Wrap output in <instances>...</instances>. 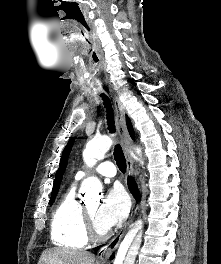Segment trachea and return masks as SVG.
<instances>
[{"mask_svg": "<svg viewBox=\"0 0 221 264\" xmlns=\"http://www.w3.org/2000/svg\"><path fill=\"white\" fill-rule=\"evenodd\" d=\"M101 97L104 101V106L107 112L108 130L110 131V133H115V124H114V118H113L114 115H113V109H112L110 99L105 94H101ZM113 155H114V158H115V161H116V164L119 170L122 173H125L126 172V160H125V156H124V153L122 151L120 144L115 145Z\"/></svg>", "mask_w": 221, "mask_h": 264, "instance_id": "1", "label": "trachea"}]
</instances>
